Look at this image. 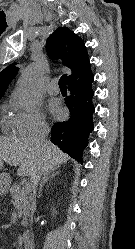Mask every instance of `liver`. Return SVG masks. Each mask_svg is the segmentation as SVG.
Returning a JSON list of instances; mask_svg holds the SVG:
<instances>
[{
  "mask_svg": "<svg viewBox=\"0 0 135 249\" xmlns=\"http://www.w3.org/2000/svg\"><path fill=\"white\" fill-rule=\"evenodd\" d=\"M56 145L47 141L45 146L37 144L33 138L0 137V161L19 166L17 175L33 176L37 172L45 174L69 160Z\"/></svg>",
  "mask_w": 135,
  "mask_h": 249,
  "instance_id": "liver-1",
  "label": "liver"
}]
</instances>
